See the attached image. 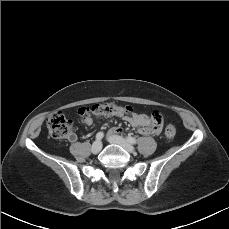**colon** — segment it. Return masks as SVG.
<instances>
[{"label":"colon","mask_w":229,"mask_h":229,"mask_svg":"<svg viewBox=\"0 0 229 229\" xmlns=\"http://www.w3.org/2000/svg\"><path fill=\"white\" fill-rule=\"evenodd\" d=\"M132 111L133 107L130 105L122 106L115 103H103L82 107L79 109V114L81 116L93 115L99 117L130 113ZM148 120L153 125L160 126L163 122V115L160 111L155 110L150 113ZM47 128L50 136L54 139H65L72 134V123L61 111L54 112L49 116ZM175 133L176 130L173 126L165 129V137L169 140L175 136Z\"/></svg>","instance_id":"5ec220e1"}]
</instances>
